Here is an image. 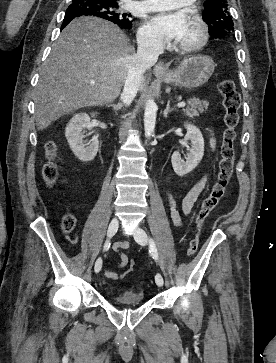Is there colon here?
<instances>
[{
    "label": "colon",
    "instance_id": "colon-1",
    "mask_svg": "<svg viewBox=\"0 0 276 363\" xmlns=\"http://www.w3.org/2000/svg\"><path fill=\"white\" fill-rule=\"evenodd\" d=\"M219 93L223 98V106L225 108L224 124L225 128L222 133V141L220 147V160L218 166V174L212 185L210 193L203 199L201 206L195 216V228L198 231L209 213L217 206L223 197L226 187L232 177L235 160V138L236 127L239 122V108L241 104V96L231 79L222 80L218 86ZM48 162L44 165L43 176L47 184H53L58 176V168L53 159L56 155V148L52 142L46 146ZM76 226V219L72 214H65L62 218V228L65 233H70ZM198 248L197 234L190 240L187 254L192 256ZM129 268L134 266V261L128 262Z\"/></svg>",
    "mask_w": 276,
    "mask_h": 363
}]
</instances>
